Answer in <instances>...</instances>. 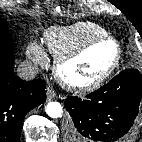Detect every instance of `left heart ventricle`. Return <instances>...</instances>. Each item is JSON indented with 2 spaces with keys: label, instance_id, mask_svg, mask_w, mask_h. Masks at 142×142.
Listing matches in <instances>:
<instances>
[{
  "label": "left heart ventricle",
  "instance_id": "b2bd125f",
  "mask_svg": "<svg viewBox=\"0 0 142 142\" xmlns=\"http://www.w3.org/2000/svg\"><path fill=\"white\" fill-rule=\"evenodd\" d=\"M115 47L110 42L100 44L64 68L67 77L78 83L95 79L111 64Z\"/></svg>",
  "mask_w": 142,
  "mask_h": 142
}]
</instances>
